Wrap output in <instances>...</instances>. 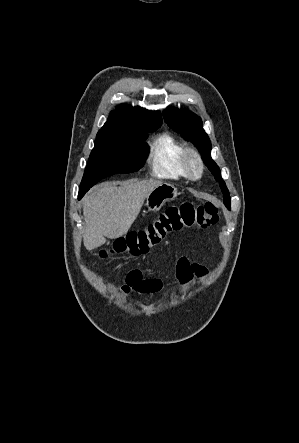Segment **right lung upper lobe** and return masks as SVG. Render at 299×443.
Listing matches in <instances>:
<instances>
[{"instance_id": "cb5924a9", "label": "right lung upper lobe", "mask_w": 299, "mask_h": 443, "mask_svg": "<svg viewBox=\"0 0 299 443\" xmlns=\"http://www.w3.org/2000/svg\"><path fill=\"white\" fill-rule=\"evenodd\" d=\"M160 112H152L140 107L119 105L110 113L108 121L100 129L97 137L121 133L139 131L141 128L151 125H161Z\"/></svg>"}]
</instances>
